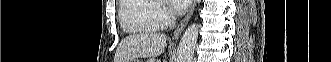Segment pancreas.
<instances>
[{"label": "pancreas", "mask_w": 331, "mask_h": 62, "mask_svg": "<svg viewBox=\"0 0 331 62\" xmlns=\"http://www.w3.org/2000/svg\"><path fill=\"white\" fill-rule=\"evenodd\" d=\"M147 62H155V60L151 58V59L147 60Z\"/></svg>", "instance_id": "1"}]
</instances>
